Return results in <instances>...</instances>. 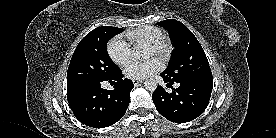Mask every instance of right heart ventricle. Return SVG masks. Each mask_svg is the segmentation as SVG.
I'll list each match as a JSON object with an SVG mask.
<instances>
[{"instance_id": "obj_1", "label": "right heart ventricle", "mask_w": 276, "mask_h": 138, "mask_svg": "<svg viewBox=\"0 0 276 138\" xmlns=\"http://www.w3.org/2000/svg\"><path fill=\"white\" fill-rule=\"evenodd\" d=\"M126 38L134 44L150 43L164 36L163 31L155 26H143L125 33Z\"/></svg>"}]
</instances>
